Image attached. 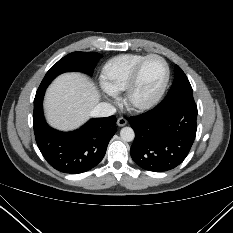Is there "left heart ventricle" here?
Returning <instances> with one entry per match:
<instances>
[{
	"label": "left heart ventricle",
	"mask_w": 233,
	"mask_h": 233,
	"mask_svg": "<svg viewBox=\"0 0 233 233\" xmlns=\"http://www.w3.org/2000/svg\"><path fill=\"white\" fill-rule=\"evenodd\" d=\"M165 77V66L157 58L149 59L143 66L136 97L141 100L150 98L161 86Z\"/></svg>",
	"instance_id": "left-heart-ventricle-1"
}]
</instances>
